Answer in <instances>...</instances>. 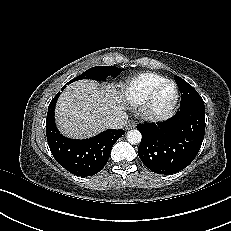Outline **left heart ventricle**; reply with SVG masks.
Returning a JSON list of instances; mask_svg holds the SVG:
<instances>
[{"label":"left heart ventricle","mask_w":231,"mask_h":231,"mask_svg":"<svg viewBox=\"0 0 231 231\" xmlns=\"http://www.w3.org/2000/svg\"><path fill=\"white\" fill-rule=\"evenodd\" d=\"M172 95H173V87L171 85H165L155 97L154 104L157 107H162L171 100Z\"/></svg>","instance_id":"1"}]
</instances>
